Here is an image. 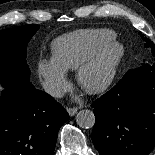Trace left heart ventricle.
Segmentation results:
<instances>
[{
    "mask_svg": "<svg viewBox=\"0 0 155 155\" xmlns=\"http://www.w3.org/2000/svg\"><path fill=\"white\" fill-rule=\"evenodd\" d=\"M109 60L110 54L86 76L85 81L88 85L96 84L104 79L108 70Z\"/></svg>",
    "mask_w": 155,
    "mask_h": 155,
    "instance_id": "1",
    "label": "left heart ventricle"
}]
</instances>
